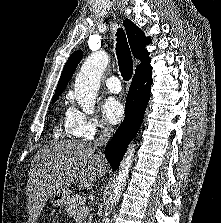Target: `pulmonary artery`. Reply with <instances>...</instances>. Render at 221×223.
Segmentation results:
<instances>
[{
	"label": "pulmonary artery",
	"instance_id": "pulmonary-artery-1",
	"mask_svg": "<svg viewBox=\"0 0 221 223\" xmlns=\"http://www.w3.org/2000/svg\"><path fill=\"white\" fill-rule=\"evenodd\" d=\"M105 85L111 92L117 93L121 90L119 78L116 76H109L105 79Z\"/></svg>",
	"mask_w": 221,
	"mask_h": 223
}]
</instances>
